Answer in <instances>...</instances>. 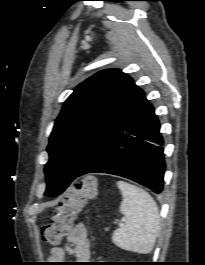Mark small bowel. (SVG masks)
I'll return each mask as SVG.
<instances>
[{
	"label": "small bowel",
	"instance_id": "c3829d8e",
	"mask_svg": "<svg viewBox=\"0 0 205 265\" xmlns=\"http://www.w3.org/2000/svg\"><path fill=\"white\" fill-rule=\"evenodd\" d=\"M66 255H73L79 263H86L91 257V244L87 228L78 223L67 234L66 243L62 247H53L49 253V260L61 262Z\"/></svg>",
	"mask_w": 205,
	"mask_h": 265
}]
</instances>
